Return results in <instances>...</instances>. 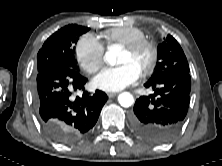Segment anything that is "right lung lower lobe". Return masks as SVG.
<instances>
[{
	"label": "right lung lower lobe",
	"mask_w": 222,
	"mask_h": 166,
	"mask_svg": "<svg viewBox=\"0 0 222 166\" xmlns=\"http://www.w3.org/2000/svg\"><path fill=\"white\" fill-rule=\"evenodd\" d=\"M86 81L76 69L66 66H51L37 73L34 104L42 128L52 140L73 143L97 122L108 97L99 90L74 97L73 92L84 90Z\"/></svg>",
	"instance_id": "obj_1"
}]
</instances>
